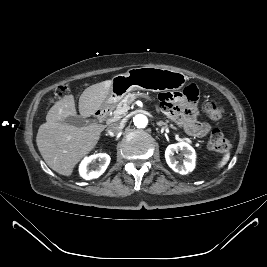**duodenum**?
<instances>
[{
	"mask_svg": "<svg viewBox=\"0 0 267 267\" xmlns=\"http://www.w3.org/2000/svg\"><path fill=\"white\" fill-rule=\"evenodd\" d=\"M107 111V108H100L94 112L93 116L96 120L102 121L105 118Z\"/></svg>",
	"mask_w": 267,
	"mask_h": 267,
	"instance_id": "410a0bca",
	"label": "duodenum"
}]
</instances>
